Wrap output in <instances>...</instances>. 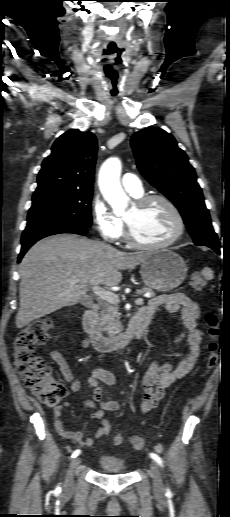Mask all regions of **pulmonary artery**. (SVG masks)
<instances>
[{
	"mask_svg": "<svg viewBox=\"0 0 230 517\" xmlns=\"http://www.w3.org/2000/svg\"><path fill=\"white\" fill-rule=\"evenodd\" d=\"M123 188L132 196L140 197L143 194L141 180L134 174L126 173L121 179Z\"/></svg>",
	"mask_w": 230,
	"mask_h": 517,
	"instance_id": "e3ab8cb5",
	"label": "pulmonary artery"
}]
</instances>
